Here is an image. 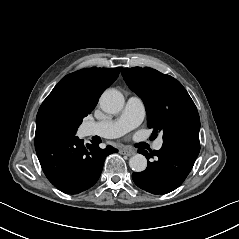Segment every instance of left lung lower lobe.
I'll use <instances>...</instances> for the list:
<instances>
[{"mask_svg": "<svg viewBox=\"0 0 239 239\" xmlns=\"http://www.w3.org/2000/svg\"><path fill=\"white\" fill-rule=\"evenodd\" d=\"M200 151L199 137L183 135L165 140L162 148L146 156L148 166L134 172L132 179L141 189L152 194H166L178 188L188 176ZM155 156V161L149 159Z\"/></svg>", "mask_w": 239, "mask_h": 239, "instance_id": "obj_1", "label": "left lung lower lobe"}]
</instances>
